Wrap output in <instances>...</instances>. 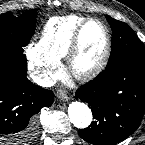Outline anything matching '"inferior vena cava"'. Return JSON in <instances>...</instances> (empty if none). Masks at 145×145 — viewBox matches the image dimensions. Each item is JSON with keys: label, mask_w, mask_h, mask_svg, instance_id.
<instances>
[{"label": "inferior vena cava", "mask_w": 145, "mask_h": 145, "mask_svg": "<svg viewBox=\"0 0 145 145\" xmlns=\"http://www.w3.org/2000/svg\"><path fill=\"white\" fill-rule=\"evenodd\" d=\"M34 82L42 87H49L53 85V82L48 81L44 75L38 74L33 78Z\"/></svg>", "instance_id": "obj_1"}]
</instances>
